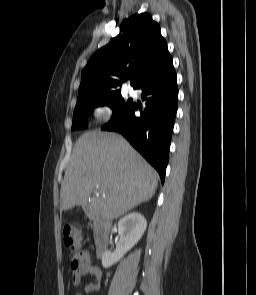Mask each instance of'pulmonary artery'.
<instances>
[{"label": "pulmonary artery", "mask_w": 256, "mask_h": 295, "mask_svg": "<svg viewBox=\"0 0 256 295\" xmlns=\"http://www.w3.org/2000/svg\"><path fill=\"white\" fill-rule=\"evenodd\" d=\"M128 93H129L130 95H134V90L131 89V88H129V89H128Z\"/></svg>", "instance_id": "1"}]
</instances>
